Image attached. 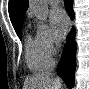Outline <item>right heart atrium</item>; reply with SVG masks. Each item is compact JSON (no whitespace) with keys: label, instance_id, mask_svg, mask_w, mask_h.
Here are the masks:
<instances>
[{"label":"right heart atrium","instance_id":"obj_1","mask_svg":"<svg viewBox=\"0 0 89 89\" xmlns=\"http://www.w3.org/2000/svg\"><path fill=\"white\" fill-rule=\"evenodd\" d=\"M35 38L43 56L51 59L57 48V41L51 29L46 24L39 23Z\"/></svg>","mask_w":89,"mask_h":89}]
</instances>
